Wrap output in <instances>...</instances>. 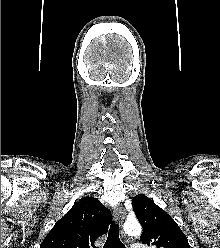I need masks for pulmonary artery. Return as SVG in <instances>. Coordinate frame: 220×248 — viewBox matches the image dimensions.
Returning a JSON list of instances; mask_svg holds the SVG:
<instances>
[{
  "label": "pulmonary artery",
  "instance_id": "e3ab8cb5",
  "mask_svg": "<svg viewBox=\"0 0 220 248\" xmlns=\"http://www.w3.org/2000/svg\"><path fill=\"white\" fill-rule=\"evenodd\" d=\"M130 248H145L142 244L135 243Z\"/></svg>",
  "mask_w": 220,
  "mask_h": 248
}]
</instances>
